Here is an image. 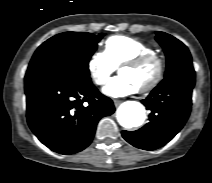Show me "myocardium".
Returning <instances> with one entry per match:
<instances>
[{
	"label": "myocardium",
	"instance_id": "1",
	"mask_svg": "<svg viewBox=\"0 0 212 183\" xmlns=\"http://www.w3.org/2000/svg\"><path fill=\"white\" fill-rule=\"evenodd\" d=\"M151 62H154L157 65L156 75L150 83L138 89V92L146 93L153 90L163 78L165 72V63L160 55L157 53L142 54L122 64L119 68V71L124 68H138Z\"/></svg>",
	"mask_w": 212,
	"mask_h": 183
}]
</instances>
